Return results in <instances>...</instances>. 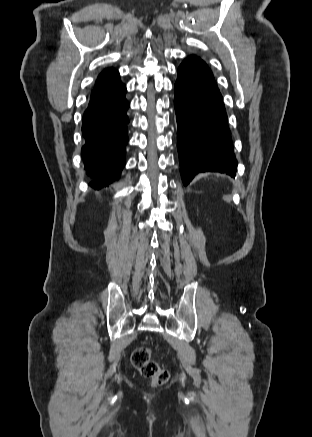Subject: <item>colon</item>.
I'll use <instances>...</instances> for the list:
<instances>
[{"mask_svg":"<svg viewBox=\"0 0 312 437\" xmlns=\"http://www.w3.org/2000/svg\"><path fill=\"white\" fill-rule=\"evenodd\" d=\"M131 362L143 377L150 380L153 386L163 385L169 379V372L152 359V352L148 347L135 349Z\"/></svg>","mask_w":312,"mask_h":437,"instance_id":"colon-1","label":"colon"}]
</instances>
